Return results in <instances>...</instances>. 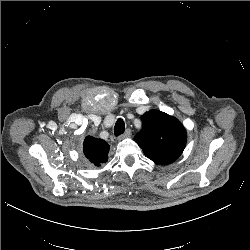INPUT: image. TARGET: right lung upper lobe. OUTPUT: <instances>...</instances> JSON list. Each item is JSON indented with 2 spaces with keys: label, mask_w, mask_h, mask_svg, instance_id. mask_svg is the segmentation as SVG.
<instances>
[{
  "label": "right lung upper lobe",
  "mask_w": 250,
  "mask_h": 250,
  "mask_svg": "<svg viewBox=\"0 0 250 250\" xmlns=\"http://www.w3.org/2000/svg\"><path fill=\"white\" fill-rule=\"evenodd\" d=\"M83 152L92 165L101 166L107 162L109 145L102 139L87 136L84 139Z\"/></svg>",
  "instance_id": "right-lung-upper-lobe-1"
}]
</instances>
